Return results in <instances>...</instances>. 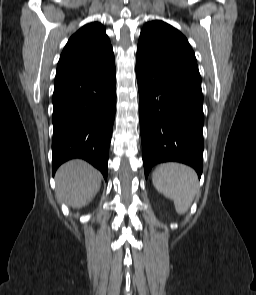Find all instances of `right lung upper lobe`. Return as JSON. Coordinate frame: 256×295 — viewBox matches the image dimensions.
<instances>
[{
    "label": "right lung upper lobe",
    "instance_id": "cb5924a9",
    "mask_svg": "<svg viewBox=\"0 0 256 295\" xmlns=\"http://www.w3.org/2000/svg\"><path fill=\"white\" fill-rule=\"evenodd\" d=\"M115 63L105 28L89 23L71 36L60 56L55 82L89 73Z\"/></svg>",
    "mask_w": 256,
    "mask_h": 295
}]
</instances>
